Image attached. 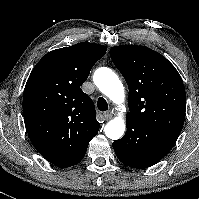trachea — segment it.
Segmentation results:
<instances>
[{"label": "trachea", "instance_id": "trachea-1", "mask_svg": "<svg viewBox=\"0 0 199 199\" xmlns=\"http://www.w3.org/2000/svg\"><path fill=\"white\" fill-rule=\"evenodd\" d=\"M97 107L102 112L107 111L108 110V103L103 97H100L97 101Z\"/></svg>", "mask_w": 199, "mask_h": 199}]
</instances>
